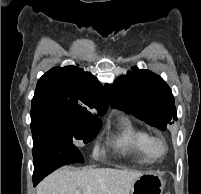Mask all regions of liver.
Segmentation results:
<instances>
[{
    "label": "liver",
    "mask_w": 201,
    "mask_h": 194,
    "mask_svg": "<svg viewBox=\"0 0 201 194\" xmlns=\"http://www.w3.org/2000/svg\"><path fill=\"white\" fill-rule=\"evenodd\" d=\"M144 173L112 168L63 167L37 186V194H130L133 182Z\"/></svg>",
    "instance_id": "1"
}]
</instances>
